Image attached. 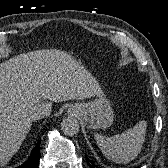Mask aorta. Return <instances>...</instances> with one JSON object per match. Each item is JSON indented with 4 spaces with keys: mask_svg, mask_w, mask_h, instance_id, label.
<instances>
[{
    "mask_svg": "<svg viewBox=\"0 0 168 168\" xmlns=\"http://www.w3.org/2000/svg\"><path fill=\"white\" fill-rule=\"evenodd\" d=\"M61 129L65 135L73 136L79 132V123L73 117H66L61 122Z\"/></svg>",
    "mask_w": 168,
    "mask_h": 168,
    "instance_id": "obj_1",
    "label": "aorta"
}]
</instances>
